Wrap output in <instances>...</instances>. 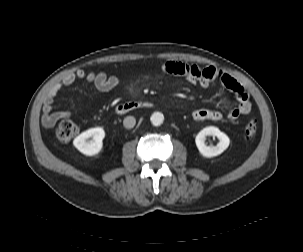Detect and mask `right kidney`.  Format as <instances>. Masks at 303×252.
<instances>
[{
	"instance_id": "right-kidney-1",
	"label": "right kidney",
	"mask_w": 303,
	"mask_h": 252,
	"mask_svg": "<svg viewBox=\"0 0 303 252\" xmlns=\"http://www.w3.org/2000/svg\"><path fill=\"white\" fill-rule=\"evenodd\" d=\"M105 131L101 127L91 128L78 135L73 145L84 155L94 156L101 152ZM88 138L92 140L87 141Z\"/></svg>"
}]
</instances>
